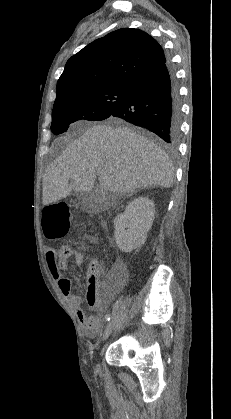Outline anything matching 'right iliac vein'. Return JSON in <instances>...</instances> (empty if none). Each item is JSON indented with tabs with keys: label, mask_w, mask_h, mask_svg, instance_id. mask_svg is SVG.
<instances>
[{
	"label": "right iliac vein",
	"mask_w": 231,
	"mask_h": 419,
	"mask_svg": "<svg viewBox=\"0 0 231 419\" xmlns=\"http://www.w3.org/2000/svg\"><path fill=\"white\" fill-rule=\"evenodd\" d=\"M113 329H114V321L112 320L107 324V326L105 328V331H104L103 337H102L103 341H105L111 335ZM98 366H99V364H97V367Z\"/></svg>",
	"instance_id": "obj_1"
}]
</instances>
